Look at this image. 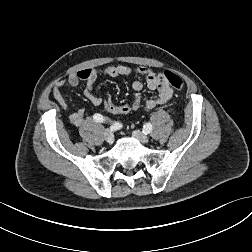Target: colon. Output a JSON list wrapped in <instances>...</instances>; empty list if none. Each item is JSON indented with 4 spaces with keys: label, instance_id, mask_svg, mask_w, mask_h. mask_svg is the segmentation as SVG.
<instances>
[{
    "label": "colon",
    "instance_id": "obj_1",
    "mask_svg": "<svg viewBox=\"0 0 252 252\" xmlns=\"http://www.w3.org/2000/svg\"><path fill=\"white\" fill-rule=\"evenodd\" d=\"M163 77L172 88L176 90L182 89L183 81L175 73L166 71L163 73ZM141 101V96H137L134 98L132 97L127 102L118 103L114 99H112V97L108 93H105L104 97L102 98V106L108 113L116 115H128L139 109Z\"/></svg>",
    "mask_w": 252,
    "mask_h": 252
}]
</instances>
